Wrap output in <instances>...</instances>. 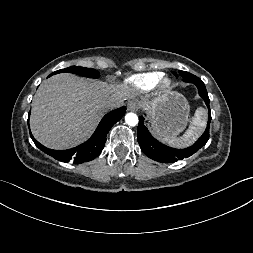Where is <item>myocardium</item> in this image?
<instances>
[{
    "label": "myocardium",
    "instance_id": "obj_1",
    "mask_svg": "<svg viewBox=\"0 0 253 253\" xmlns=\"http://www.w3.org/2000/svg\"><path fill=\"white\" fill-rule=\"evenodd\" d=\"M157 87H158V90L161 92V93H167L169 92L172 87H173V80L171 77L169 76H165L163 75L158 83H157Z\"/></svg>",
    "mask_w": 253,
    "mask_h": 253
}]
</instances>
